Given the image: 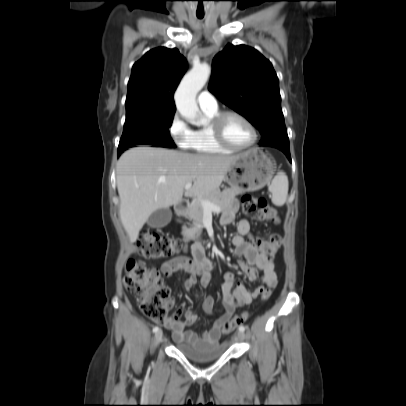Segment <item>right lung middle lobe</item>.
<instances>
[{
    "label": "right lung middle lobe",
    "instance_id": "dd1d6c3e",
    "mask_svg": "<svg viewBox=\"0 0 406 406\" xmlns=\"http://www.w3.org/2000/svg\"><path fill=\"white\" fill-rule=\"evenodd\" d=\"M174 112L134 109L126 111V121L118 153L136 145L175 148L168 128Z\"/></svg>",
    "mask_w": 406,
    "mask_h": 406
}]
</instances>
